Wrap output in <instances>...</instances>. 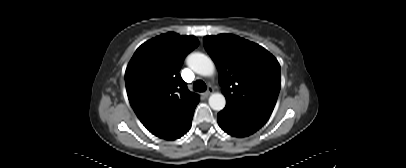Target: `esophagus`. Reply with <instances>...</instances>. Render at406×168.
Returning a JSON list of instances; mask_svg holds the SVG:
<instances>
[{"instance_id": "34e87169", "label": "esophagus", "mask_w": 406, "mask_h": 168, "mask_svg": "<svg viewBox=\"0 0 406 168\" xmlns=\"http://www.w3.org/2000/svg\"><path fill=\"white\" fill-rule=\"evenodd\" d=\"M213 92V88L209 87L208 90L204 93L205 96H209L210 94H212Z\"/></svg>"}]
</instances>
